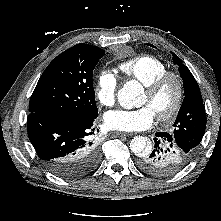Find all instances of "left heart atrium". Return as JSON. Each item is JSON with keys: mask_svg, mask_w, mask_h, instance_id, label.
Segmentation results:
<instances>
[{"mask_svg": "<svg viewBox=\"0 0 221 221\" xmlns=\"http://www.w3.org/2000/svg\"><path fill=\"white\" fill-rule=\"evenodd\" d=\"M155 114L144 105L137 109H116L105 113L104 122L108 129L124 132L141 131L153 124Z\"/></svg>", "mask_w": 221, "mask_h": 221, "instance_id": "39dd6f15", "label": "left heart atrium"}]
</instances>
